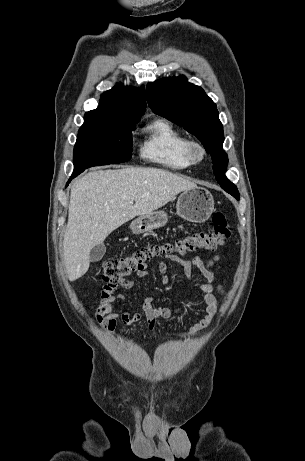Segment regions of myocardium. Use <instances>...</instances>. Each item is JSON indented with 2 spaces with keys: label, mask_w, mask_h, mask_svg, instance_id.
I'll use <instances>...</instances> for the list:
<instances>
[{
  "label": "myocardium",
  "mask_w": 305,
  "mask_h": 461,
  "mask_svg": "<svg viewBox=\"0 0 305 461\" xmlns=\"http://www.w3.org/2000/svg\"><path fill=\"white\" fill-rule=\"evenodd\" d=\"M186 152L192 163H199L206 157L207 151L205 146L196 140H189L186 146Z\"/></svg>",
  "instance_id": "myocardium-1"
}]
</instances>
